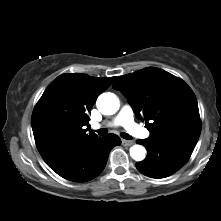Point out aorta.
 I'll use <instances>...</instances> for the list:
<instances>
[{"label": "aorta", "instance_id": "762f6f07", "mask_svg": "<svg viewBox=\"0 0 221 221\" xmlns=\"http://www.w3.org/2000/svg\"><path fill=\"white\" fill-rule=\"evenodd\" d=\"M98 110L104 115L115 114L119 109V99L114 93H102L96 102ZM130 156L135 161L145 159L146 150L142 145H133L130 148Z\"/></svg>", "mask_w": 221, "mask_h": 221}]
</instances>
